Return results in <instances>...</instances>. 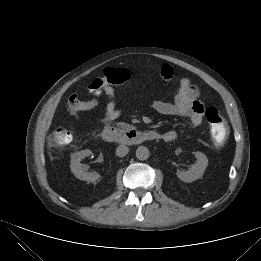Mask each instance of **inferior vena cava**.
I'll return each instance as SVG.
<instances>
[{
	"mask_svg": "<svg viewBox=\"0 0 261 261\" xmlns=\"http://www.w3.org/2000/svg\"><path fill=\"white\" fill-rule=\"evenodd\" d=\"M129 148L125 145H120L116 149V155L119 157H124L128 154Z\"/></svg>",
	"mask_w": 261,
	"mask_h": 261,
	"instance_id": "602c4592",
	"label": "inferior vena cava"
}]
</instances>
